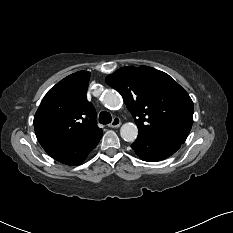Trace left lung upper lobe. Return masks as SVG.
I'll return each mask as SVG.
<instances>
[{"mask_svg":"<svg viewBox=\"0 0 233 233\" xmlns=\"http://www.w3.org/2000/svg\"><path fill=\"white\" fill-rule=\"evenodd\" d=\"M105 81L122 95L139 135L185 142L193 123V102L168 74L144 65L128 66Z\"/></svg>","mask_w":233,"mask_h":233,"instance_id":"5c2ea615","label":"left lung upper lobe"}]
</instances>
